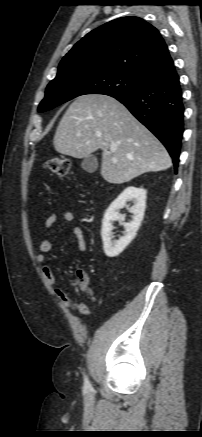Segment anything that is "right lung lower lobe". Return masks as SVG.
<instances>
[{"label": "right lung lower lobe", "mask_w": 202, "mask_h": 437, "mask_svg": "<svg viewBox=\"0 0 202 437\" xmlns=\"http://www.w3.org/2000/svg\"><path fill=\"white\" fill-rule=\"evenodd\" d=\"M166 147L178 167L183 134L184 105L174 64L152 74L132 92L112 95Z\"/></svg>", "instance_id": "right-lung-lower-lobe-1"}]
</instances>
